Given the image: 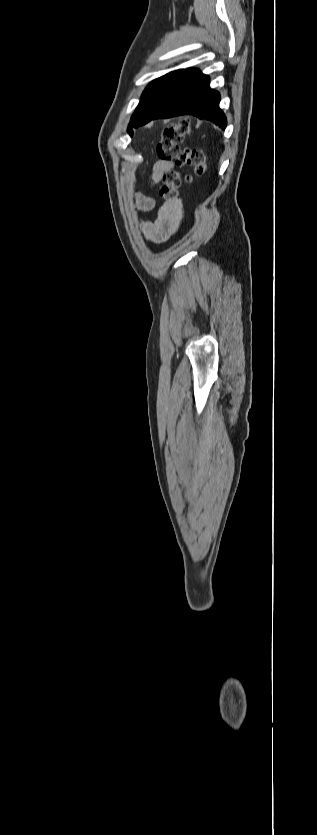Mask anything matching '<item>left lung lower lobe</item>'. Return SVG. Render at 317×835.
Here are the masks:
<instances>
[{
	"label": "left lung lower lobe",
	"instance_id": "obj_1",
	"mask_svg": "<svg viewBox=\"0 0 317 835\" xmlns=\"http://www.w3.org/2000/svg\"><path fill=\"white\" fill-rule=\"evenodd\" d=\"M219 102V93L209 88V77L198 69L190 68L183 72L169 97L144 124L158 118L191 115L225 129L227 119L219 108Z\"/></svg>",
	"mask_w": 317,
	"mask_h": 835
}]
</instances>
